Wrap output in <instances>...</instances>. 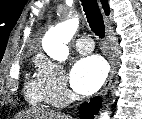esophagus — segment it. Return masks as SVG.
I'll return each mask as SVG.
<instances>
[{"label":"esophagus","instance_id":"1","mask_svg":"<svg viewBox=\"0 0 142 119\" xmlns=\"http://www.w3.org/2000/svg\"><path fill=\"white\" fill-rule=\"evenodd\" d=\"M105 25H106L107 56L110 63V72L100 92L101 96L105 95L107 91L109 90L114 74H115V68H116V58H115V51H114V45H113L112 33H111V21L107 16H105Z\"/></svg>","mask_w":142,"mask_h":119}]
</instances>
